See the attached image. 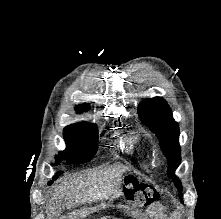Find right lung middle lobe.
Returning a JSON list of instances; mask_svg holds the SVG:
<instances>
[{"instance_id":"obj_1","label":"right lung middle lobe","mask_w":221,"mask_h":219,"mask_svg":"<svg viewBox=\"0 0 221 219\" xmlns=\"http://www.w3.org/2000/svg\"><path fill=\"white\" fill-rule=\"evenodd\" d=\"M66 149L56 156L54 165L62 160L82 164L90 161L98 149V127L92 123L72 124L64 128Z\"/></svg>"}]
</instances>
